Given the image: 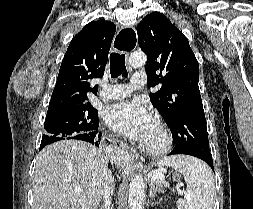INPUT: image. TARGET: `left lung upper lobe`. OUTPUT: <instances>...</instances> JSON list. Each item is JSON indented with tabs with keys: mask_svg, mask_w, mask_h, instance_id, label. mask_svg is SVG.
I'll return each mask as SVG.
<instances>
[{
	"mask_svg": "<svg viewBox=\"0 0 253 209\" xmlns=\"http://www.w3.org/2000/svg\"><path fill=\"white\" fill-rule=\"evenodd\" d=\"M139 46L147 55V86L162 85L150 101L167 122L180 154L211 156L199 91V64L188 39L159 12L137 26Z\"/></svg>",
	"mask_w": 253,
	"mask_h": 209,
	"instance_id": "1",
	"label": "left lung upper lobe"
}]
</instances>
